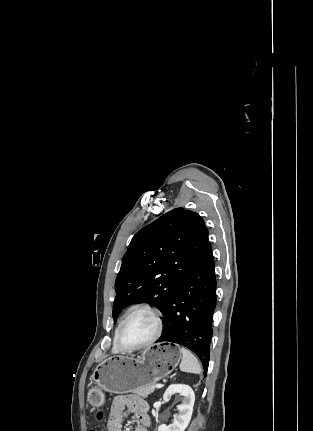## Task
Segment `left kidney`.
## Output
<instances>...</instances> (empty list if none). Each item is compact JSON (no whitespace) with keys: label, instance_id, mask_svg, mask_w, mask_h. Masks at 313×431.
Returning a JSON list of instances; mask_svg holds the SVG:
<instances>
[{"label":"left kidney","instance_id":"5707ae66","mask_svg":"<svg viewBox=\"0 0 313 431\" xmlns=\"http://www.w3.org/2000/svg\"><path fill=\"white\" fill-rule=\"evenodd\" d=\"M173 395L182 396V402L177 407L178 414L174 415L172 424L160 425L158 431H184L190 423L195 402L194 391L185 384H172L163 395L164 401H169Z\"/></svg>","mask_w":313,"mask_h":431}]
</instances>
